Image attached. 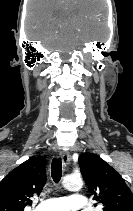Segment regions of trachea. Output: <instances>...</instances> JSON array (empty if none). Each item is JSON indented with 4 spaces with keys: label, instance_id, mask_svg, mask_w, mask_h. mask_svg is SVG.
Returning a JSON list of instances; mask_svg holds the SVG:
<instances>
[{
    "label": "trachea",
    "instance_id": "trachea-1",
    "mask_svg": "<svg viewBox=\"0 0 133 211\" xmlns=\"http://www.w3.org/2000/svg\"><path fill=\"white\" fill-rule=\"evenodd\" d=\"M51 174L55 183H58L62 176V162L60 158H54L51 163Z\"/></svg>",
    "mask_w": 133,
    "mask_h": 211
}]
</instances>
